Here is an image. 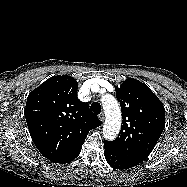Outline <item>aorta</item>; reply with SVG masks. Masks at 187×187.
Wrapping results in <instances>:
<instances>
[{
    "mask_svg": "<svg viewBox=\"0 0 187 187\" xmlns=\"http://www.w3.org/2000/svg\"><path fill=\"white\" fill-rule=\"evenodd\" d=\"M106 115V121L103 126V135L107 140H113L121 128V110L116 99L109 95L102 100Z\"/></svg>",
    "mask_w": 187,
    "mask_h": 187,
    "instance_id": "aorta-1",
    "label": "aorta"
}]
</instances>
